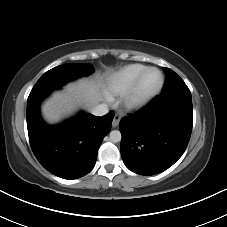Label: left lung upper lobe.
Returning <instances> with one entry per match:
<instances>
[{
	"label": "left lung upper lobe",
	"mask_w": 227,
	"mask_h": 227,
	"mask_svg": "<svg viewBox=\"0 0 227 227\" xmlns=\"http://www.w3.org/2000/svg\"><path fill=\"white\" fill-rule=\"evenodd\" d=\"M166 81L162 89L161 96H188L191 97L190 90L184 81L174 71L168 68H163Z\"/></svg>",
	"instance_id": "5c2ea615"
}]
</instances>
